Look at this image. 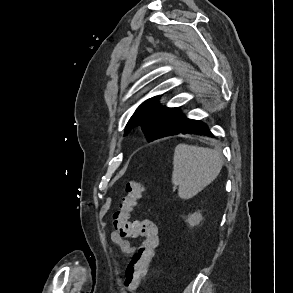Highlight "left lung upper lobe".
Masks as SVG:
<instances>
[{
  "mask_svg": "<svg viewBox=\"0 0 293 293\" xmlns=\"http://www.w3.org/2000/svg\"><path fill=\"white\" fill-rule=\"evenodd\" d=\"M159 96L143 102L130 118L125 135L135 126H141L148 141L166 136L182 119L178 108L161 107Z\"/></svg>",
  "mask_w": 293,
  "mask_h": 293,
  "instance_id": "5c2ea615",
  "label": "left lung upper lobe"
}]
</instances>
